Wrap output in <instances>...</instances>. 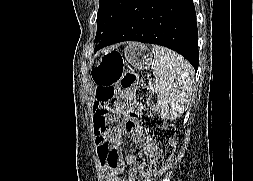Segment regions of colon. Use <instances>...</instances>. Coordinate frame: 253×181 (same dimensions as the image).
Segmentation results:
<instances>
[{"label":"colon","instance_id":"5ec220e1","mask_svg":"<svg viewBox=\"0 0 253 181\" xmlns=\"http://www.w3.org/2000/svg\"><path fill=\"white\" fill-rule=\"evenodd\" d=\"M92 77L97 87L96 117H104L107 105L120 90L132 92L134 107L130 110V116L139 120L141 129L146 132L157 150L156 157L150 163V172L152 175L164 173L175 150V128L166 124L165 120L154 112L151 93L146 84L135 72L124 70L123 60L116 52L104 56L93 70Z\"/></svg>","mask_w":253,"mask_h":181}]
</instances>
